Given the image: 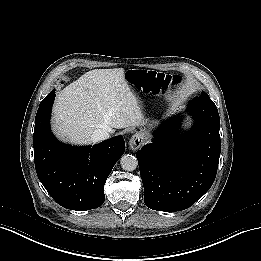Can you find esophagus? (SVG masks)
Listing matches in <instances>:
<instances>
[{
  "label": "esophagus",
  "mask_w": 261,
  "mask_h": 261,
  "mask_svg": "<svg viewBox=\"0 0 261 261\" xmlns=\"http://www.w3.org/2000/svg\"><path fill=\"white\" fill-rule=\"evenodd\" d=\"M144 144V138L142 134L136 133L129 140V146L132 150L139 149Z\"/></svg>",
  "instance_id": "esophagus-1"
}]
</instances>
